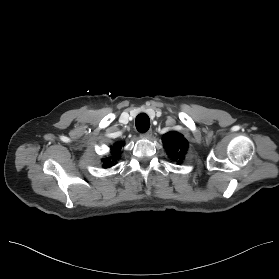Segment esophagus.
Wrapping results in <instances>:
<instances>
[{"mask_svg":"<svg viewBox=\"0 0 279 279\" xmlns=\"http://www.w3.org/2000/svg\"><path fill=\"white\" fill-rule=\"evenodd\" d=\"M151 136H152V130H148L144 134H141V137L146 139H149Z\"/></svg>","mask_w":279,"mask_h":279,"instance_id":"34e87169","label":"esophagus"}]
</instances>
